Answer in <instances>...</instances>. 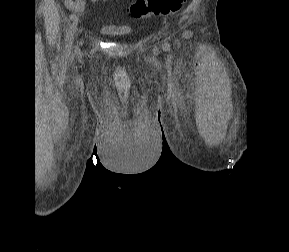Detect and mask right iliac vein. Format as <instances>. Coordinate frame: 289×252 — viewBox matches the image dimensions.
<instances>
[{
  "label": "right iliac vein",
  "instance_id": "63e3f726",
  "mask_svg": "<svg viewBox=\"0 0 289 252\" xmlns=\"http://www.w3.org/2000/svg\"><path fill=\"white\" fill-rule=\"evenodd\" d=\"M75 49L77 50V49H78V46H75Z\"/></svg>",
  "mask_w": 289,
  "mask_h": 252
}]
</instances>
